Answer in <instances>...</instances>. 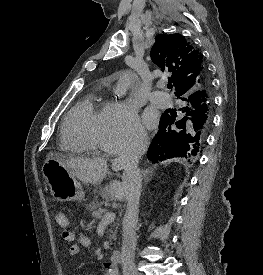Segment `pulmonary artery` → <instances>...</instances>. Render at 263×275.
<instances>
[{"mask_svg": "<svg viewBox=\"0 0 263 275\" xmlns=\"http://www.w3.org/2000/svg\"><path fill=\"white\" fill-rule=\"evenodd\" d=\"M150 100L153 104L161 108H167L172 105V99L163 91H154L150 95Z\"/></svg>", "mask_w": 263, "mask_h": 275, "instance_id": "obj_1", "label": "pulmonary artery"}]
</instances>
